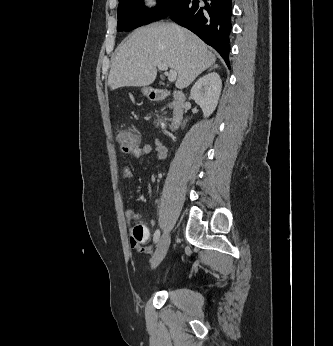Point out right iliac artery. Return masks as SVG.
Masks as SVG:
<instances>
[{
	"label": "right iliac artery",
	"instance_id": "82829eb1",
	"mask_svg": "<svg viewBox=\"0 0 333 346\" xmlns=\"http://www.w3.org/2000/svg\"><path fill=\"white\" fill-rule=\"evenodd\" d=\"M159 238H160V231L156 230L153 237L154 243H157L159 241Z\"/></svg>",
	"mask_w": 333,
	"mask_h": 346
}]
</instances>
